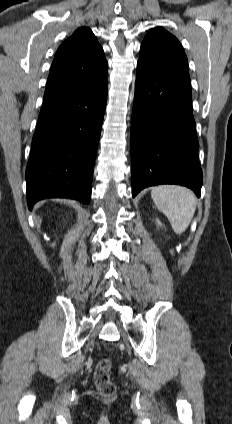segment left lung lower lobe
I'll return each mask as SVG.
<instances>
[{"label":"left lung lower lobe","mask_w":232,"mask_h":424,"mask_svg":"<svg viewBox=\"0 0 232 424\" xmlns=\"http://www.w3.org/2000/svg\"><path fill=\"white\" fill-rule=\"evenodd\" d=\"M130 148L133 197L158 184L183 185L200 196L202 171L188 72L137 68Z\"/></svg>","instance_id":"1"}]
</instances>
